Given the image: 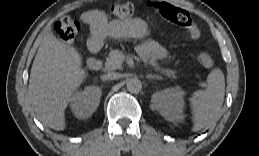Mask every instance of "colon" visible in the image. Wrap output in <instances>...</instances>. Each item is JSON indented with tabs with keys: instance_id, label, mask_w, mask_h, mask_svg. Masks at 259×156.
I'll use <instances>...</instances> for the list:
<instances>
[{
	"instance_id": "1",
	"label": "colon",
	"mask_w": 259,
	"mask_h": 156,
	"mask_svg": "<svg viewBox=\"0 0 259 156\" xmlns=\"http://www.w3.org/2000/svg\"><path fill=\"white\" fill-rule=\"evenodd\" d=\"M156 8L164 19L185 28L189 32L191 39L196 40L200 37V31L194 18L186 10L166 3L159 4ZM110 10L115 16L127 19L136 14L137 7L132 3L126 2L114 4ZM55 30L62 41L72 42L80 30V24L72 17L65 16L56 22ZM198 61L207 69L214 66V60L207 52L199 53Z\"/></svg>"
}]
</instances>
